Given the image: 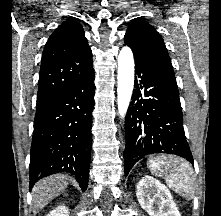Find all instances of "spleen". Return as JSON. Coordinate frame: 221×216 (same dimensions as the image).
Segmentation results:
<instances>
[{"label":"spleen","mask_w":221,"mask_h":216,"mask_svg":"<svg viewBox=\"0 0 221 216\" xmlns=\"http://www.w3.org/2000/svg\"><path fill=\"white\" fill-rule=\"evenodd\" d=\"M150 171L163 178L173 191L183 197L194 195V176L191 165L184 159L172 156H159L148 159Z\"/></svg>","instance_id":"obj_1"}]
</instances>
